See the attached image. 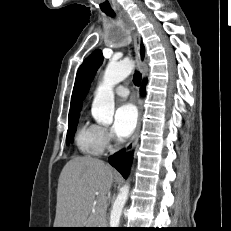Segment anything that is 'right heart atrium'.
<instances>
[{"label":"right heart atrium","mask_w":231,"mask_h":231,"mask_svg":"<svg viewBox=\"0 0 231 231\" xmlns=\"http://www.w3.org/2000/svg\"><path fill=\"white\" fill-rule=\"evenodd\" d=\"M100 136H101V141L104 145V148L111 149L114 143V136L112 132L105 127H100Z\"/></svg>","instance_id":"1"}]
</instances>
